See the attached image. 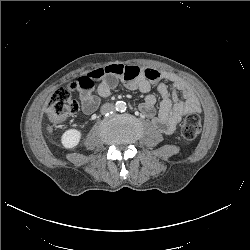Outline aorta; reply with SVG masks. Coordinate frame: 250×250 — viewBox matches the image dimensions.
Returning a JSON list of instances; mask_svg holds the SVG:
<instances>
[{"label": "aorta", "mask_w": 250, "mask_h": 250, "mask_svg": "<svg viewBox=\"0 0 250 250\" xmlns=\"http://www.w3.org/2000/svg\"><path fill=\"white\" fill-rule=\"evenodd\" d=\"M126 103L124 102V101H118V102H116V104H115V109L117 110V111H120V112H123V111H125L126 110Z\"/></svg>", "instance_id": "obj_1"}]
</instances>
